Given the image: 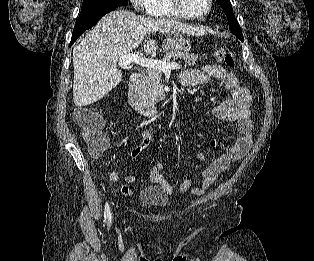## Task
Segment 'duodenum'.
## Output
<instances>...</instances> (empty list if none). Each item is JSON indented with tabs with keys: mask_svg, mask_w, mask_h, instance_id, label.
<instances>
[{
	"mask_svg": "<svg viewBox=\"0 0 314 261\" xmlns=\"http://www.w3.org/2000/svg\"><path fill=\"white\" fill-rule=\"evenodd\" d=\"M143 75L141 73H133L129 82V103L131 108L148 118H157L160 115V109L148 102L142 91Z\"/></svg>",
	"mask_w": 314,
	"mask_h": 261,
	"instance_id": "410a0bca",
	"label": "duodenum"
}]
</instances>
